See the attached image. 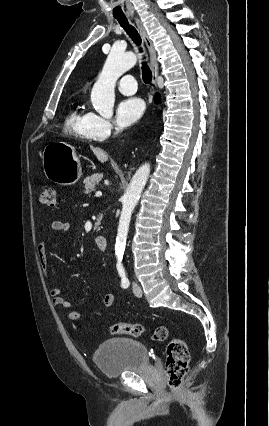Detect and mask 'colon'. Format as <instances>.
<instances>
[{
  "mask_svg": "<svg viewBox=\"0 0 269 426\" xmlns=\"http://www.w3.org/2000/svg\"><path fill=\"white\" fill-rule=\"evenodd\" d=\"M40 201L46 206H55V190L49 186L44 187L41 190ZM108 331L112 334H127L139 337L148 330L142 324L115 322L108 326ZM150 333L154 341L166 342L167 344L165 361L167 386L170 390L176 391L188 372L190 355L187 346L182 339L174 337L165 325L153 327Z\"/></svg>",
  "mask_w": 269,
  "mask_h": 426,
  "instance_id": "colon-1",
  "label": "colon"
}]
</instances>
